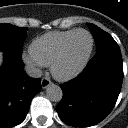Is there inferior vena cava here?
I'll return each mask as SVG.
<instances>
[{
  "label": "inferior vena cava",
  "mask_w": 128,
  "mask_h": 128,
  "mask_svg": "<svg viewBox=\"0 0 128 128\" xmlns=\"http://www.w3.org/2000/svg\"><path fill=\"white\" fill-rule=\"evenodd\" d=\"M25 71L27 75L33 78H40L42 76V71L35 67L34 64H28L25 66Z\"/></svg>",
  "instance_id": "1"
}]
</instances>
